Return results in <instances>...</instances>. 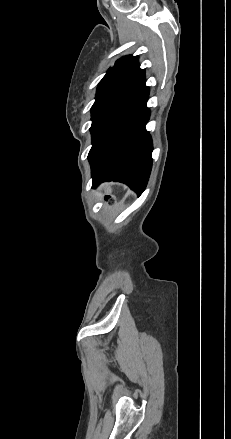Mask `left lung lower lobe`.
<instances>
[{
    "mask_svg": "<svg viewBox=\"0 0 231 439\" xmlns=\"http://www.w3.org/2000/svg\"><path fill=\"white\" fill-rule=\"evenodd\" d=\"M145 81L123 98L90 130L93 187L104 181H120L140 195L152 167V139L146 131L150 111Z\"/></svg>",
    "mask_w": 231,
    "mask_h": 439,
    "instance_id": "left-lung-lower-lobe-1",
    "label": "left lung lower lobe"
}]
</instances>
